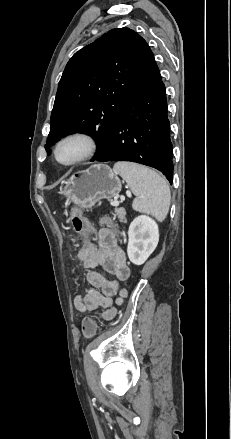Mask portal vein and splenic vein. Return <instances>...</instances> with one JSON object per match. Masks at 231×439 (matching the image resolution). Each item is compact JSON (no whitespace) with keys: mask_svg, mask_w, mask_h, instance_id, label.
<instances>
[{"mask_svg":"<svg viewBox=\"0 0 231 439\" xmlns=\"http://www.w3.org/2000/svg\"><path fill=\"white\" fill-rule=\"evenodd\" d=\"M128 194H130V192H128ZM113 205L117 207L119 205V203L118 202H114Z\"/></svg>","mask_w":231,"mask_h":439,"instance_id":"portal-vein-and-splenic-vein-1","label":"portal vein and splenic vein"}]
</instances>
